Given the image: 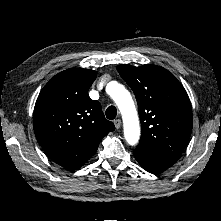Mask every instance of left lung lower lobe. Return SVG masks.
I'll return each mask as SVG.
<instances>
[{"label":"left lung lower lobe","instance_id":"obj_1","mask_svg":"<svg viewBox=\"0 0 221 221\" xmlns=\"http://www.w3.org/2000/svg\"><path fill=\"white\" fill-rule=\"evenodd\" d=\"M133 154L138 163L147 171L159 174L172 166L176 161L155 156L150 152L142 149H135Z\"/></svg>","mask_w":221,"mask_h":221}]
</instances>
